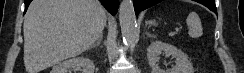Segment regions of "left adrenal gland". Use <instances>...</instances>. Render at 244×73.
Wrapping results in <instances>:
<instances>
[{"label": "left adrenal gland", "mask_w": 244, "mask_h": 73, "mask_svg": "<svg viewBox=\"0 0 244 73\" xmlns=\"http://www.w3.org/2000/svg\"><path fill=\"white\" fill-rule=\"evenodd\" d=\"M146 35H147V37H155L154 34H149L147 31H146Z\"/></svg>", "instance_id": "1"}]
</instances>
